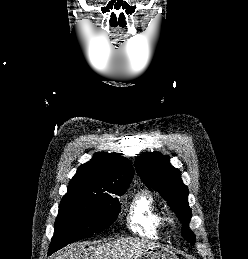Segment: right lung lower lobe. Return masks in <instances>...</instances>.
I'll return each instance as SVG.
<instances>
[{
  "mask_svg": "<svg viewBox=\"0 0 248 259\" xmlns=\"http://www.w3.org/2000/svg\"><path fill=\"white\" fill-rule=\"evenodd\" d=\"M55 250L49 248V254L53 253Z\"/></svg>",
  "mask_w": 248,
  "mask_h": 259,
  "instance_id": "obj_1",
  "label": "right lung lower lobe"
}]
</instances>
